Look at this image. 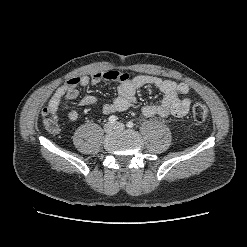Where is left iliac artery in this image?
<instances>
[{"label":"left iliac artery","mask_w":247,"mask_h":247,"mask_svg":"<svg viewBox=\"0 0 247 247\" xmlns=\"http://www.w3.org/2000/svg\"><path fill=\"white\" fill-rule=\"evenodd\" d=\"M134 126V123L132 121L127 122V127L132 128Z\"/></svg>","instance_id":"44dca946"}]
</instances>
